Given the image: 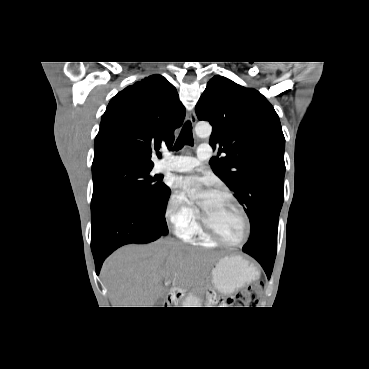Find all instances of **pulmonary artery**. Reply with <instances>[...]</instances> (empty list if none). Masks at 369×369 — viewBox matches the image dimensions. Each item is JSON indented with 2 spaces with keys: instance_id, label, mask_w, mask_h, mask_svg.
I'll use <instances>...</instances> for the list:
<instances>
[{
  "instance_id": "e3ab8cb5",
  "label": "pulmonary artery",
  "mask_w": 369,
  "mask_h": 369,
  "mask_svg": "<svg viewBox=\"0 0 369 369\" xmlns=\"http://www.w3.org/2000/svg\"><path fill=\"white\" fill-rule=\"evenodd\" d=\"M212 157V149L207 144H201L197 150V157L179 155L167 156L158 165L162 171L187 172L193 170L202 161L209 160Z\"/></svg>"
}]
</instances>
